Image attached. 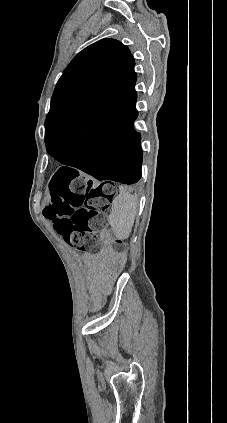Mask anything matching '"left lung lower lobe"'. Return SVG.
Wrapping results in <instances>:
<instances>
[{"label":"left lung lower lobe","mask_w":227,"mask_h":423,"mask_svg":"<svg viewBox=\"0 0 227 423\" xmlns=\"http://www.w3.org/2000/svg\"><path fill=\"white\" fill-rule=\"evenodd\" d=\"M136 118L137 112L110 113L88 124L81 133L51 142L47 151L62 164L98 180L136 183L142 164L141 137L133 128ZM61 169L73 177L79 175L75 169Z\"/></svg>","instance_id":"0a47b994"}]
</instances>
